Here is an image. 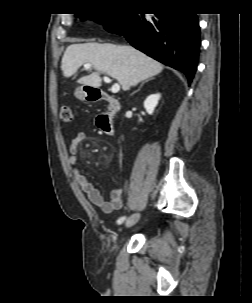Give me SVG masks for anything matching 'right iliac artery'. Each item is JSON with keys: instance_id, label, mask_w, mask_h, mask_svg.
<instances>
[{"instance_id": "obj_1", "label": "right iliac artery", "mask_w": 252, "mask_h": 303, "mask_svg": "<svg viewBox=\"0 0 252 303\" xmlns=\"http://www.w3.org/2000/svg\"><path fill=\"white\" fill-rule=\"evenodd\" d=\"M125 218H126V217H121V218L117 221V223H118V224H121V223L125 220Z\"/></svg>"}]
</instances>
